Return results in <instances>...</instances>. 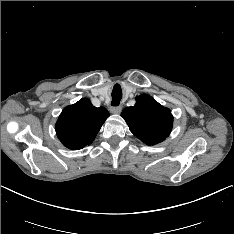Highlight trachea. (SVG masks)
Returning <instances> with one entry per match:
<instances>
[{
	"mask_svg": "<svg viewBox=\"0 0 234 234\" xmlns=\"http://www.w3.org/2000/svg\"><path fill=\"white\" fill-rule=\"evenodd\" d=\"M112 98H113V100H112V102H111V105H112V106H118L121 98H120V97L113 96V95H112Z\"/></svg>",
	"mask_w": 234,
	"mask_h": 234,
	"instance_id": "1",
	"label": "trachea"
}]
</instances>
